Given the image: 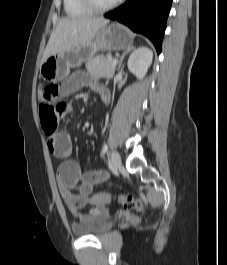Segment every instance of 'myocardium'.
Returning <instances> with one entry per match:
<instances>
[{
	"instance_id": "1",
	"label": "myocardium",
	"mask_w": 227,
	"mask_h": 265,
	"mask_svg": "<svg viewBox=\"0 0 227 265\" xmlns=\"http://www.w3.org/2000/svg\"><path fill=\"white\" fill-rule=\"evenodd\" d=\"M81 2L90 12L103 13L116 7L121 2V0H114L113 2L105 6L97 5L94 0H81Z\"/></svg>"
}]
</instances>
